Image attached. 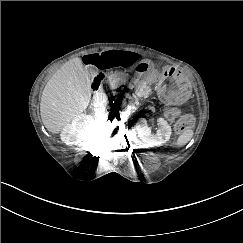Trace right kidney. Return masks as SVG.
Listing matches in <instances>:
<instances>
[{
  "label": "right kidney",
  "mask_w": 243,
  "mask_h": 243,
  "mask_svg": "<svg viewBox=\"0 0 243 243\" xmlns=\"http://www.w3.org/2000/svg\"><path fill=\"white\" fill-rule=\"evenodd\" d=\"M92 122V117L89 115L75 117L73 122L62 131V141L69 146L78 145L84 139L87 129Z\"/></svg>",
  "instance_id": "ca27d5eb"
}]
</instances>
